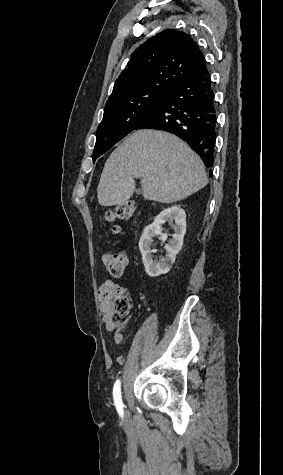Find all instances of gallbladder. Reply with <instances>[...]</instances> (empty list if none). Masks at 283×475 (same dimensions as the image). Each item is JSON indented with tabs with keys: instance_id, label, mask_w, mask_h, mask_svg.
I'll use <instances>...</instances> for the list:
<instances>
[{
	"instance_id": "obj_1",
	"label": "gallbladder",
	"mask_w": 283,
	"mask_h": 475,
	"mask_svg": "<svg viewBox=\"0 0 283 475\" xmlns=\"http://www.w3.org/2000/svg\"><path fill=\"white\" fill-rule=\"evenodd\" d=\"M136 194H140V190H136Z\"/></svg>"
}]
</instances>
